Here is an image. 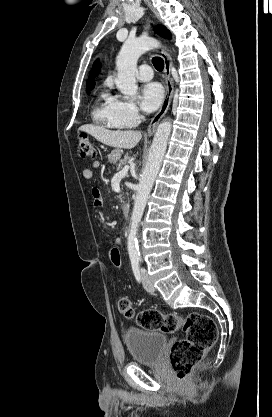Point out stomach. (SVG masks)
<instances>
[{
  "instance_id": "1",
  "label": "stomach",
  "mask_w": 272,
  "mask_h": 417,
  "mask_svg": "<svg viewBox=\"0 0 272 417\" xmlns=\"http://www.w3.org/2000/svg\"><path fill=\"white\" fill-rule=\"evenodd\" d=\"M122 155V150L120 148H116L113 149L109 154H108V161L112 164H116Z\"/></svg>"
}]
</instances>
